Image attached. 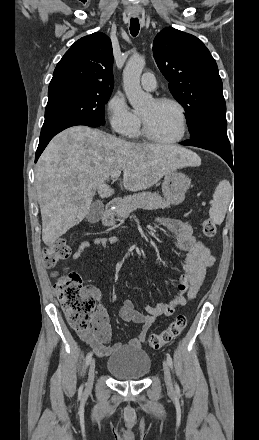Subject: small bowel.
Instances as JSON below:
<instances>
[{"instance_id": "c3829d8e", "label": "small bowel", "mask_w": 259, "mask_h": 440, "mask_svg": "<svg viewBox=\"0 0 259 440\" xmlns=\"http://www.w3.org/2000/svg\"><path fill=\"white\" fill-rule=\"evenodd\" d=\"M157 221L168 230L172 244L185 254L183 273L180 276L175 296L166 303L146 306L142 312L135 308L132 300H124L119 311L120 318L123 321L141 325L139 335L129 342L132 347L141 346L149 328L158 317L172 315L177 307L185 305L196 296L204 281L207 269L213 266L215 261L210 250L194 236L193 228L188 221L166 217H160ZM119 240L118 236H112L97 237L92 242L83 241L77 247L72 258H80L91 245L108 247ZM91 290L93 296L100 299L98 289L91 288ZM77 334L81 340L94 349L99 357L109 355L119 346V344L110 345L111 328L107 312L102 304H99L95 311L92 326L84 330L77 329Z\"/></svg>"}]
</instances>
